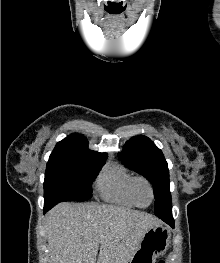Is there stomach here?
Instances as JSON below:
<instances>
[{"mask_svg":"<svg viewBox=\"0 0 220 263\" xmlns=\"http://www.w3.org/2000/svg\"><path fill=\"white\" fill-rule=\"evenodd\" d=\"M170 240L169 230L162 225L150 228L128 263H155L156 258L168 249Z\"/></svg>","mask_w":220,"mask_h":263,"instance_id":"obj_1","label":"stomach"}]
</instances>
